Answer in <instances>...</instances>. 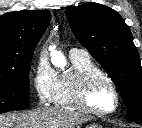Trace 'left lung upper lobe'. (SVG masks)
<instances>
[{"instance_id":"left-lung-upper-lobe-1","label":"left lung upper lobe","mask_w":142,"mask_h":128,"mask_svg":"<svg viewBox=\"0 0 142 128\" xmlns=\"http://www.w3.org/2000/svg\"><path fill=\"white\" fill-rule=\"evenodd\" d=\"M66 15L76 38L118 87L127 121L142 125V67L127 24L115 10L93 2L69 7Z\"/></svg>"}]
</instances>
